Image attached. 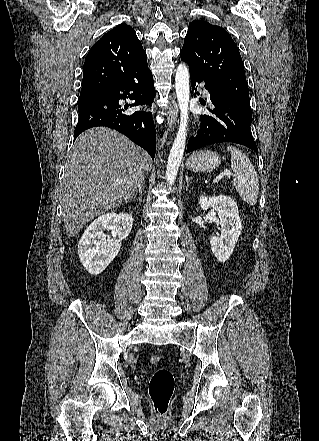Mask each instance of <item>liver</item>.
<instances>
[{"mask_svg":"<svg viewBox=\"0 0 319 441\" xmlns=\"http://www.w3.org/2000/svg\"><path fill=\"white\" fill-rule=\"evenodd\" d=\"M151 164L146 151L115 130L94 127L81 133L68 155L61 183L67 236L77 234L96 216L131 201Z\"/></svg>","mask_w":319,"mask_h":441,"instance_id":"obj_1","label":"liver"}]
</instances>
